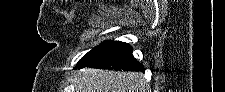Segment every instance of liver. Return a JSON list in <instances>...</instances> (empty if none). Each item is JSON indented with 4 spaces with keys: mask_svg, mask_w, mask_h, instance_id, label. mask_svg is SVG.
<instances>
[{
    "mask_svg": "<svg viewBox=\"0 0 225 92\" xmlns=\"http://www.w3.org/2000/svg\"><path fill=\"white\" fill-rule=\"evenodd\" d=\"M76 92H147L142 73L81 69L75 78Z\"/></svg>",
    "mask_w": 225,
    "mask_h": 92,
    "instance_id": "1",
    "label": "liver"
}]
</instances>
